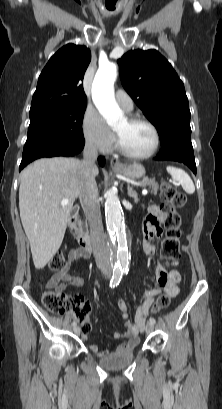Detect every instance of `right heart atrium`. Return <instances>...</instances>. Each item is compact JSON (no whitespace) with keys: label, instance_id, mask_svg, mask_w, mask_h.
<instances>
[{"label":"right heart atrium","instance_id":"d8ad5b80","mask_svg":"<svg viewBox=\"0 0 222 409\" xmlns=\"http://www.w3.org/2000/svg\"><path fill=\"white\" fill-rule=\"evenodd\" d=\"M82 133L87 144L102 153H109L114 146V136L99 112L88 106L81 123Z\"/></svg>","mask_w":222,"mask_h":409}]
</instances>
